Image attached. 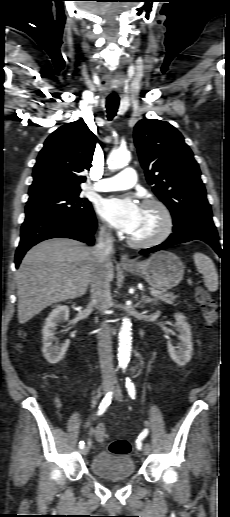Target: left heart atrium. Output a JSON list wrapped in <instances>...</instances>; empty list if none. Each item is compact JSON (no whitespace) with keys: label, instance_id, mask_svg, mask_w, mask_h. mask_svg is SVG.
<instances>
[{"label":"left heart atrium","instance_id":"1","mask_svg":"<svg viewBox=\"0 0 230 517\" xmlns=\"http://www.w3.org/2000/svg\"><path fill=\"white\" fill-rule=\"evenodd\" d=\"M99 214L115 228L131 234L138 225L141 207L131 198H107L98 205Z\"/></svg>","mask_w":230,"mask_h":517}]
</instances>
